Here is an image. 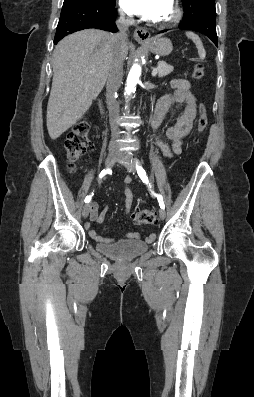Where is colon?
I'll return each mask as SVG.
<instances>
[{"label": "colon", "instance_id": "5ec220e1", "mask_svg": "<svg viewBox=\"0 0 254 397\" xmlns=\"http://www.w3.org/2000/svg\"><path fill=\"white\" fill-rule=\"evenodd\" d=\"M192 76L196 80H201L204 76V68L200 63H197L192 72ZM208 124V117L206 108L203 104L199 107V118L197 122V132L201 134L204 132ZM90 123L83 118L73 125L64 142L69 161V167L74 170L75 163L83 156L89 145ZM133 221L137 225H152L157 223V213L151 209H139L133 216Z\"/></svg>", "mask_w": 254, "mask_h": 397}]
</instances>
